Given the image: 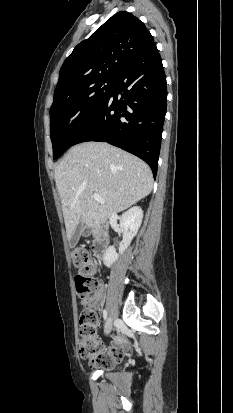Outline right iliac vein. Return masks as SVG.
I'll use <instances>...</instances> for the list:
<instances>
[{
	"mask_svg": "<svg viewBox=\"0 0 233 413\" xmlns=\"http://www.w3.org/2000/svg\"><path fill=\"white\" fill-rule=\"evenodd\" d=\"M111 330H112V319H111V318H108V320H107L106 323H105L104 332H105V334L107 335V334H109V333L111 332Z\"/></svg>",
	"mask_w": 233,
	"mask_h": 413,
	"instance_id": "63e3f726",
	"label": "right iliac vein"
}]
</instances>
